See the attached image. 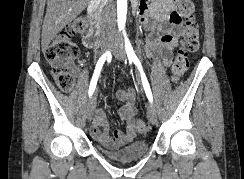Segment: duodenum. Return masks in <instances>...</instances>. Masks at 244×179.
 <instances>
[{
	"instance_id": "410a0bca",
	"label": "duodenum",
	"mask_w": 244,
	"mask_h": 179,
	"mask_svg": "<svg viewBox=\"0 0 244 179\" xmlns=\"http://www.w3.org/2000/svg\"><path fill=\"white\" fill-rule=\"evenodd\" d=\"M135 13H137V11H134ZM99 14V4L97 1L92 0L90 1V5L89 8L87 10V15L89 17L90 20L96 21L97 17ZM91 42L93 43V47L96 46V43L98 42L99 38H98V33H97V25L93 24L92 27V31L89 35Z\"/></svg>"
}]
</instances>
